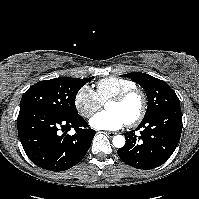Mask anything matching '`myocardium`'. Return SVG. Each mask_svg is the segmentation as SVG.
Listing matches in <instances>:
<instances>
[{"mask_svg":"<svg viewBox=\"0 0 199 199\" xmlns=\"http://www.w3.org/2000/svg\"><path fill=\"white\" fill-rule=\"evenodd\" d=\"M133 95H138L140 97L141 105H140V110L137 113V115L135 117H133L132 119H130L129 121H127V124L129 126H134V125L138 124L144 118V116L147 112L148 98H147V95L144 92V90H142L138 87H134V88H131V89L121 92L120 94L112 97L109 100V102L123 103L129 97H131Z\"/></svg>","mask_w":199,"mask_h":199,"instance_id":"f54148a6","label":"myocardium"}]
</instances>
